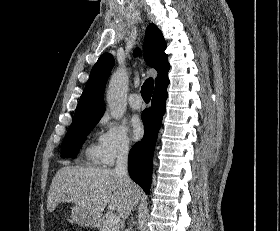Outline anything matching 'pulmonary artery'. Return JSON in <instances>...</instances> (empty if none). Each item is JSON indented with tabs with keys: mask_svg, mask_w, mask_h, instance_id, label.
Segmentation results:
<instances>
[{
	"mask_svg": "<svg viewBox=\"0 0 280 231\" xmlns=\"http://www.w3.org/2000/svg\"><path fill=\"white\" fill-rule=\"evenodd\" d=\"M139 95L138 94H131L129 97V105L133 109H139L142 106V102L138 99Z\"/></svg>",
	"mask_w": 280,
	"mask_h": 231,
	"instance_id": "e3ab8cb5",
	"label": "pulmonary artery"
}]
</instances>
